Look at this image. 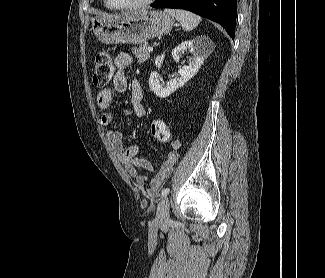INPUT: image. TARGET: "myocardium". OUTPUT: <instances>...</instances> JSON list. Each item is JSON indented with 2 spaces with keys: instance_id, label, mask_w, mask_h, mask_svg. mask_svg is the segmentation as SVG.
<instances>
[{
  "instance_id": "myocardium-1",
  "label": "myocardium",
  "mask_w": 325,
  "mask_h": 278,
  "mask_svg": "<svg viewBox=\"0 0 325 278\" xmlns=\"http://www.w3.org/2000/svg\"><path fill=\"white\" fill-rule=\"evenodd\" d=\"M156 0H144L140 3L136 4H129V5H118L114 3L112 0H106L107 4L109 5L110 8L116 9V10H137V9H142L145 7H148L152 3H154Z\"/></svg>"
}]
</instances>
